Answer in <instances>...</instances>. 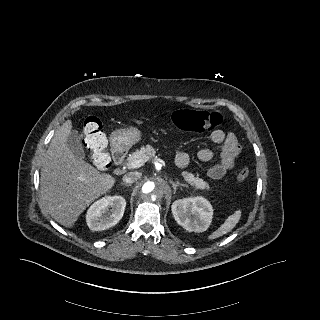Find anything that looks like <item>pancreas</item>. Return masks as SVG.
I'll use <instances>...</instances> for the list:
<instances>
[{"instance_id":"obj_1","label":"pancreas","mask_w":320,"mask_h":320,"mask_svg":"<svg viewBox=\"0 0 320 320\" xmlns=\"http://www.w3.org/2000/svg\"><path fill=\"white\" fill-rule=\"evenodd\" d=\"M155 153V149L152 146L146 145L145 147H142L140 150H137L130 154L127 160L128 162H134L137 160L147 161L150 158H154L156 156ZM181 174L184 180L196 189L210 190L209 184L205 182L203 179L199 178L198 176H195L187 171H183Z\"/></svg>"}]
</instances>
